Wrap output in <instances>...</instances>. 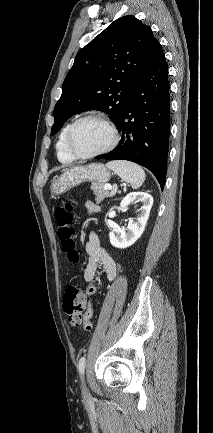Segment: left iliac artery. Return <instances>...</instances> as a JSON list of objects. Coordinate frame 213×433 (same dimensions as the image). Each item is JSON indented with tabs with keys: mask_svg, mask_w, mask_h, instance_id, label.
I'll use <instances>...</instances> for the list:
<instances>
[{
	"mask_svg": "<svg viewBox=\"0 0 213 433\" xmlns=\"http://www.w3.org/2000/svg\"><path fill=\"white\" fill-rule=\"evenodd\" d=\"M85 364H86V359H85V356H83L80 358L79 364H78V369H79V372L81 375L84 373Z\"/></svg>",
	"mask_w": 213,
	"mask_h": 433,
	"instance_id": "left-iliac-artery-1",
	"label": "left iliac artery"
}]
</instances>
